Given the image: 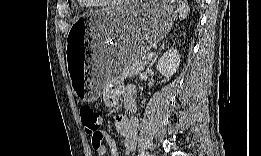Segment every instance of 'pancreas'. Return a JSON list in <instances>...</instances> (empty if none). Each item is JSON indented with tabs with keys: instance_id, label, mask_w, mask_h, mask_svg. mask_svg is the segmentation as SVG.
<instances>
[{
	"instance_id": "obj_1",
	"label": "pancreas",
	"mask_w": 261,
	"mask_h": 156,
	"mask_svg": "<svg viewBox=\"0 0 261 156\" xmlns=\"http://www.w3.org/2000/svg\"><path fill=\"white\" fill-rule=\"evenodd\" d=\"M148 61L149 60H140L139 57L133 58L131 62L122 69L121 76L126 78L139 74Z\"/></svg>"
}]
</instances>
